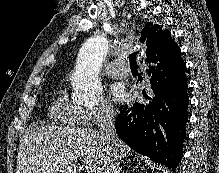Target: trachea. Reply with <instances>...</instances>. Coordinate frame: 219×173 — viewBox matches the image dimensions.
Here are the masks:
<instances>
[{"instance_id":"3493384b","label":"trachea","mask_w":219,"mask_h":173,"mask_svg":"<svg viewBox=\"0 0 219 173\" xmlns=\"http://www.w3.org/2000/svg\"><path fill=\"white\" fill-rule=\"evenodd\" d=\"M136 58H137V52L132 53L131 55H129V61H130V67L131 68H136L137 63H136Z\"/></svg>"}]
</instances>
